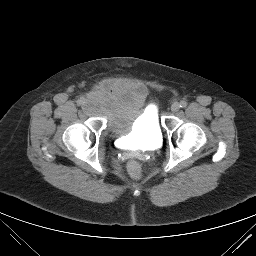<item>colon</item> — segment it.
<instances>
[{
  "instance_id": "5ec220e1",
  "label": "colon",
  "mask_w": 256,
  "mask_h": 256,
  "mask_svg": "<svg viewBox=\"0 0 256 256\" xmlns=\"http://www.w3.org/2000/svg\"><path fill=\"white\" fill-rule=\"evenodd\" d=\"M127 170L129 175L133 178V179H140L142 176V169L140 164L135 161L132 160L128 163L127 165Z\"/></svg>"
}]
</instances>
